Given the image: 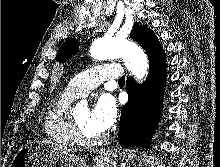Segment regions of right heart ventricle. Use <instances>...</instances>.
I'll return each mask as SVG.
<instances>
[{
  "label": "right heart ventricle",
  "mask_w": 220,
  "mask_h": 167,
  "mask_svg": "<svg viewBox=\"0 0 220 167\" xmlns=\"http://www.w3.org/2000/svg\"><path fill=\"white\" fill-rule=\"evenodd\" d=\"M76 94L66 89L54 96L48 104L43 124L47 138L62 146H72L74 142L69 131V112Z\"/></svg>",
  "instance_id": "1"
}]
</instances>
